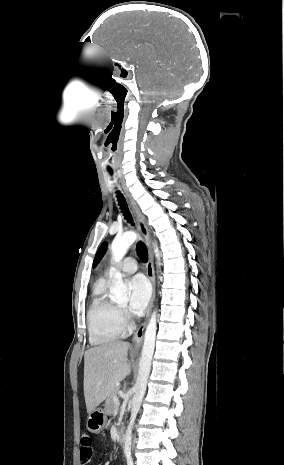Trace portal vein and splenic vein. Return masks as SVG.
<instances>
[{
	"instance_id": "obj_1",
	"label": "portal vein and splenic vein",
	"mask_w": 284,
	"mask_h": 465,
	"mask_svg": "<svg viewBox=\"0 0 284 465\" xmlns=\"http://www.w3.org/2000/svg\"><path fill=\"white\" fill-rule=\"evenodd\" d=\"M113 401H114L115 407H119L120 401H119L118 397H114Z\"/></svg>"
}]
</instances>
